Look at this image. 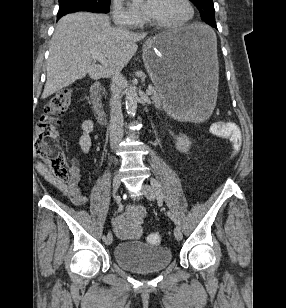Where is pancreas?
Instances as JSON below:
<instances>
[{
	"instance_id": "obj_1",
	"label": "pancreas",
	"mask_w": 286,
	"mask_h": 308,
	"mask_svg": "<svg viewBox=\"0 0 286 308\" xmlns=\"http://www.w3.org/2000/svg\"><path fill=\"white\" fill-rule=\"evenodd\" d=\"M153 89V95H152V100L154 101L155 105L157 107L163 105L162 103V97L159 95L157 89L155 87H152Z\"/></svg>"
}]
</instances>
